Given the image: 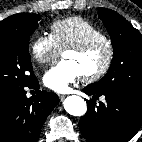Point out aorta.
<instances>
[{
    "label": "aorta",
    "mask_w": 142,
    "mask_h": 142,
    "mask_svg": "<svg viewBox=\"0 0 142 142\" xmlns=\"http://www.w3.org/2000/svg\"><path fill=\"white\" fill-rule=\"evenodd\" d=\"M63 104L66 112L73 116H82L87 111L86 102L76 95L67 97Z\"/></svg>",
    "instance_id": "obj_1"
}]
</instances>
